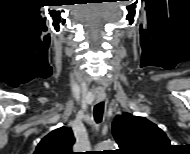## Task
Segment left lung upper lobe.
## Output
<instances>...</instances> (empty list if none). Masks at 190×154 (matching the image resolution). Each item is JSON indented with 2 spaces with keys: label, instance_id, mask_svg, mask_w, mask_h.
Segmentation results:
<instances>
[{
  "label": "left lung upper lobe",
  "instance_id": "obj_1",
  "mask_svg": "<svg viewBox=\"0 0 190 154\" xmlns=\"http://www.w3.org/2000/svg\"><path fill=\"white\" fill-rule=\"evenodd\" d=\"M112 129L119 154H163L171 147L166 134L145 117L123 112L115 118Z\"/></svg>",
  "mask_w": 190,
  "mask_h": 154
}]
</instances>
